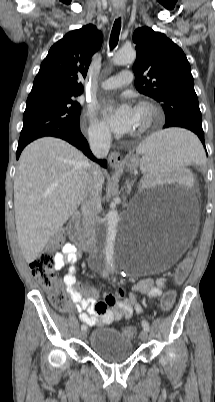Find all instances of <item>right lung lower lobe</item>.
Segmentation results:
<instances>
[{"label":"right lung lower lobe","mask_w":215,"mask_h":402,"mask_svg":"<svg viewBox=\"0 0 215 402\" xmlns=\"http://www.w3.org/2000/svg\"><path fill=\"white\" fill-rule=\"evenodd\" d=\"M46 136H53V137H57V138H61L63 140L68 141L70 144L74 145L75 147H77L79 150H81L85 155H87L89 158H91L93 161H97L98 163H100L101 166L106 167V161L105 160H97L92 152L89 149V145L87 140L84 138V136L81 134L80 129L74 130V131H62V132H58L55 134H51V135H46ZM27 145V144H26ZM26 145H18L17 148V153H16V157L17 159L19 158L23 148Z\"/></svg>","instance_id":"obj_1"}]
</instances>
